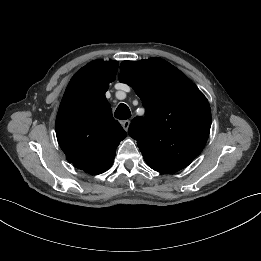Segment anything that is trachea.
<instances>
[{"label":"trachea","mask_w":261,"mask_h":261,"mask_svg":"<svg viewBox=\"0 0 261 261\" xmlns=\"http://www.w3.org/2000/svg\"><path fill=\"white\" fill-rule=\"evenodd\" d=\"M114 116L117 119L126 120V119H129L131 117V112H130V109L128 108V106L126 104L121 103L117 107Z\"/></svg>","instance_id":"obj_1"}]
</instances>
